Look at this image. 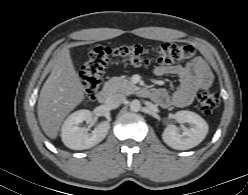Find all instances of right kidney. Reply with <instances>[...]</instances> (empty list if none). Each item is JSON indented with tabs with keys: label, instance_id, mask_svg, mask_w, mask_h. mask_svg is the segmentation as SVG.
I'll use <instances>...</instances> for the list:
<instances>
[{
	"label": "right kidney",
	"instance_id": "1",
	"mask_svg": "<svg viewBox=\"0 0 248 195\" xmlns=\"http://www.w3.org/2000/svg\"><path fill=\"white\" fill-rule=\"evenodd\" d=\"M92 118L91 111L85 109L75 111L68 116L61 129L62 141L68 148L73 150L89 149L106 137L110 128L108 121L99 123L91 133H88V128L78 126L83 121L90 123Z\"/></svg>",
	"mask_w": 248,
	"mask_h": 195
}]
</instances>
